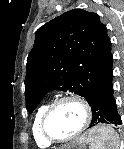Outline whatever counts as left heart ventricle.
<instances>
[{
  "instance_id": "left-heart-ventricle-1",
  "label": "left heart ventricle",
  "mask_w": 124,
  "mask_h": 149,
  "mask_svg": "<svg viewBox=\"0 0 124 149\" xmlns=\"http://www.w3.org/2000/svg\"><path fill=\"white\" fill-rule=\"evenodd\" d=\"M83 120L84 111L82 107L69 101L54 109L48 119L47 128L53 137L63 139L77 132Z\"/></svg>"
}]
</instances>
